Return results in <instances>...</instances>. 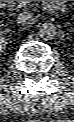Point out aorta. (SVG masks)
I'll use <instances>...</instances> for the list:
<instances>
[{
  "label": "aorta",
  "instance_id": "762f6f07",
  "mask_svg": "<svg viewBox=\"0 0 74 122\" xmlns=\"http://www.w3.org/2000/svg\"><path fill=\"white\" fill-rule=\"evenodd\" d=\"M38 35L42 40L49 41L56 36V27L50 22L41 24L38 29Z\"/></svg>",
  "mask_w": 74,
  "mask_h": 122
}]
</instances>
